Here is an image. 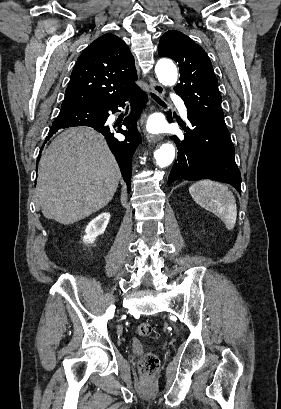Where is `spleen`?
Segmentation results:
<instances>
[{"label": "spleen", "instance_id": "1", "mask_svg": "<svg viewBox=\"0 0 281 409\" xmlns=\"http://www.w3.org/2000/svg\"><path fill=\"white\" fill-rule=\"evenodd\" d=\"M189 192L197 205L217 215L228 231L234 229L237 219L236 200L226 184L215 180H198L191 184Z\"/></svg>", "mask_w": 281, "mask_h": 409}]
</instances>
